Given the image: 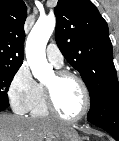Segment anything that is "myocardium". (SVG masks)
<instances>
[{"label": "myocardium", "mask_w": 119, "mask_h": 141, "mask_svg": "<svg viewBox=\"0 0 119 141\" xmlns=\"http://www.w3.org/2000/svg\"><path fill=\"white\" fill-rule=\"evenodd\" d=\"M54 75L57 79H63L67 77L75 79L82 89L83 96H84V104H83V108L81 112L78 115L74 117L64 116L56 107L54 97H53V92L51 88L48 85L44 84L43 85L44 100H45V105H46L48 112L52 114L54 117L60 120H63V121L77 122L83 119L89 112L90 102H91L90 93H89L88 87L85 84L84 80L78 74L71 72L69 70H64V69L56 70L54 72Z\"/></svg>", "instance_id": "1"}]
</instances>
